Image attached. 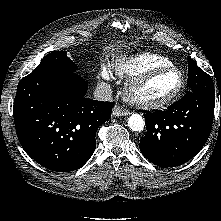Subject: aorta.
Instances as JSON below:
<instances>
[{
    "label": "aorta",
    "mask_w": 221,
    "mask_h": 221,
    "mask_svg": "<svg viewBox=\"0 0 221 221\" xmlns=\"http://www.w3.org/2000/svg\"><path fill=\"white\" fill-rule=\"evenodd\" d=\"M128 126L133 131H142L145 126V121L139 114H132L128 118Z\"/></svg>",
    "instance_id": "aorta-1"
}]
</instances>
